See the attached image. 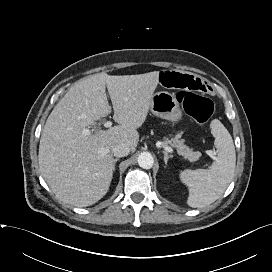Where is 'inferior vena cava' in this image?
I'll use <instances>...</instances> for the list:
<instances>
[{
    "instance_id": "inferior-vena-cava-1",
    "label": "inferior vena cava",
    "mask_w": 272,
    "mask_h": 272,
    "mask_svg": "<svg viewBox=\"0 0 272 272\" xmlns=\"http://www.w3.org/2000/svg\"><path fill=\"white\" fill-rule=\"evenodd\" d=\"M130 152L129 146L124 143L117 144L112 148V154L116 157L127 156Z\"/></svg>"
}]
</instances>
